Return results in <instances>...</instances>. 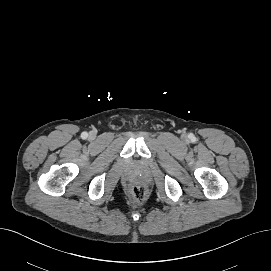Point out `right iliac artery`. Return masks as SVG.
<instances>
[{
	"label": "right iliac artery",
	"instance_id": "82829eb1",
	"mask_svg": "<svg viewBox=\"0 0 271 271\" xmlns=\"http://www.w3.org/2000/svg\"><path fill=\"white\" fill-rule=\"evenodd\" d=\"M81 137H82L83 139H86V138L88 137L87 132H83V133L81 134Z\"/></svg>",
	"mask_w": 271,
	"mask_h": 271
}]
</instances>
